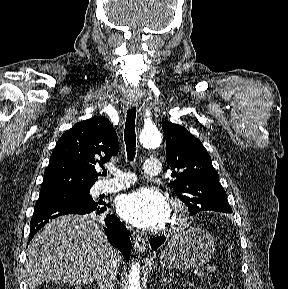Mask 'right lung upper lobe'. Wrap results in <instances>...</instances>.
<instances>
[{"mask_svg":"<svg viewBox=\"0 0 288 289\" xmlns=\"http://www.w3.org/2000/svg\"><path fill=\"white\" fill-rule=\"evenodd\" d=\"M118 151V137L108 119L95 116L79 122L58 140L41 189L91 187L100 175L95 166Z\"/></svg>","mask_w":288,"mask_h":289,"instance_id":"obj_1","label":"right lung upper lobe"}]
</instances>
